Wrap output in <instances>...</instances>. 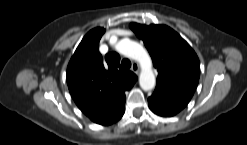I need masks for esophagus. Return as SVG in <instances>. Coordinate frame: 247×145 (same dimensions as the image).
<instances>
[{"label":"esophagus","instance_id":"1","mask_svg":"<svg viewBox=\"0 0 247 145\" xmlns=\"http://www.w3.org/2000/svg\"><path fill=\"white\" fill-rule=\"evenodd\" d=\"M131 70L134 73L138 74L139 73V65H138V63H136V62L132 63Z\"/></svg>","mask_w":247,"mask_h":145}]
</instances>
